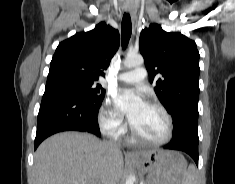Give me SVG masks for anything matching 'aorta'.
Instances as JSON below:
<instances>
[{"instance_id": "obj_1", "label": "aorta", "mask_w": 235, "mask_h": 184, "mask_svg": "<svg viewBox=\"0 0 235 184\" xmlns=\"http://www.w3.org/2000/svg\"><path fill=\"white\" fill-rule=\"evenodd\" d=\"M142 64H144V60L140 54H127L124 60V66L126 68H136V66H142ZM134 180V176H130L125 184H134Z\"/></svg>"}]
</instances>
